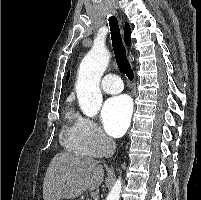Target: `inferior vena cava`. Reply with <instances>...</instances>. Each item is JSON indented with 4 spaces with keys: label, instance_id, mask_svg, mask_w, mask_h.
I'll use <instances>...</instances> for the list:
<instances>
[{
    "label": "inferior vena cava",
    "instance_id": "602c4592",
    "mask_svg": "<svg viewBox=\"0 0 201 200\" xmlns=\"http://www.w3.org/2000/svg\"><path fill=\"white\" fill-rule=\"evenodd\" d=\"M105 148H106V155L105 157H111L114 155L115 150H116V143L113 139L110 137L105 138Z\"/></svg>",
    "mask_w": 201,
    "mask_h": 200
}]
</instances>
